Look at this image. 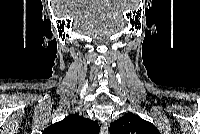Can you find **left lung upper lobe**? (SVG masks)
Returning a JSON list of instances; mask_svg holds the SVG:
<instances>
[{"label":"left lung upper lobe","instance_id":"5c2ea615","mask_svg":"<svg viewBox=\"0 0 200 134\" xmlns=\"http://www.w3.org/2000/svg\"><path fill=\"white\" fill-rule=\"evenodd\" d=\"M111 134H160L150 122L128 113L110 125Z\"/></svg>","mask_w":200,"mask_h":134}]
</instances>
